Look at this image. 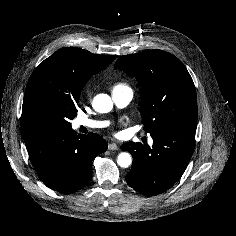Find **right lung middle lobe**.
Wrapping results in <instances>:
<instances>
[{"instance_id":"1","label":"right lung middle lobe","mask_w":236,"mask_h":236,"mask_svg":"<svg viewBox=\"0 0 236 236\" xmlns=\"http://www.w3.org/2000/svg\"><path fill=\"white\" fill-rule=\"evenodd\" d=\"M79 97H72L44 85H34L24 97L22 134H54L72 129L70 120L77 114Z\"/></svg>"}]
</instances>
